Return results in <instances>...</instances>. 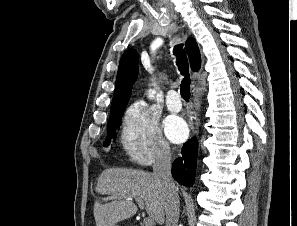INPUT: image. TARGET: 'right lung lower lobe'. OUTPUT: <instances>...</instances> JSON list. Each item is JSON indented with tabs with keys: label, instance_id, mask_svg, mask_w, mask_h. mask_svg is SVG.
I'll list each match as a JSON object with an SVG mask.
<instances>
[{
	"label": "right lung lower lobe",
	"instance_id": "right-lung-lower-lobe-1",
	"mask_svg": "<svg viewBox=\"0 0 297 226\" xmlns=\"http://www.w3.org/2000/svg\"><path fill=\"white\" fill-rule=\"evenodd\" d=\"M197 162V141L191 139L182 148V157L173 162L172 175L184 186H192L195 180Z\"/></svg>",
	"mask_w": 297,
	"mask_h": 226
}]
</instances>
